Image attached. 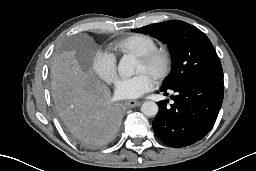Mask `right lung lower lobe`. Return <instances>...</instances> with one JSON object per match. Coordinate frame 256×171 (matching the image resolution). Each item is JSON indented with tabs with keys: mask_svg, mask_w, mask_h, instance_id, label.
I'll return each instance as SVG.
<instances>
[{
	"mask_svg": "<svg viewBox=\"0 0 256 171\" xmlns=\"http://www.w3.org/2000/svg\"><path fill=\"white\" fill-rule=\"evenodd\" d=\"M55 106L67 131L85 147L110 143L121 124L120 109L111 101L109 89L101 83L55 101Z\"/></svg>",
	"mask_w": 256,
	"mask_h": 171,
	"instance_id": "obj_1",
	"label": "right lung lower lobe"
}]
</instances>
